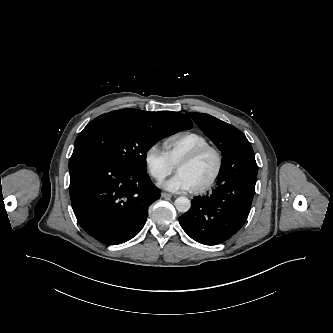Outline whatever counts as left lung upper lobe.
Returning <instances> with one entry per match:
<instances>
[{"label":"left lung upper lobe","mask_w":333,"mask_h":333,"mask_svg":"<svg viewBox=\"0 0 333 333\" xmlns=\"http://www.w3.org/2000/svg\"><path fill=\"white\" fill-rule=\"evenodd\" d=\"M208 136L224 157L238 147L249 144L246 136L236 127L204 113H187Z\"/></svg>","instance_id":"1"}]
</instances>
